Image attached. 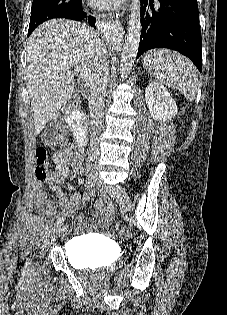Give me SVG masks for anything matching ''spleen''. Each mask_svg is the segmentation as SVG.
<instances>
[{
	"label": "spleen",
	"instance_id": "spleen-1",
	"mask_svg": "<svg viewBox=\"0 0 227 315\" xmlns=\"http://www.w3.org/2000/svg\"><path fill=\"white\" fill-rule=\"evenodd\" d=\"M143 66L157 80L176 87L187 99L193 100L198 89V77L194 65L180 54L158 49L143 57Z\"/></svg>",
	"mask_w": 227,
	"mask_h": 315
}]
</instances>
